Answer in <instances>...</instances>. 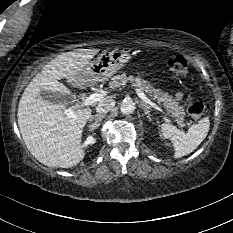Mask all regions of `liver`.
Listing matches in <instances>:
<instances>
[{
  "mask_svg": "<svg viewBox=\"0 0 233 233\" xmlns=\"http://www.w3.org/2000/svg\"><path fill=\"white\" fill-rule=\"evenodd\" d=\"M97 52L78 49L57 56L43 67L22 94L17 112L20 133L30 153L46 166L71 168L84 158L82 133L91 117V109H73L74 116L69 117L64 104L44 100L40 93L70 95V90L58 81L61 79H66L74 88L83 89L88 82L80 73Z\"/></svg>",
  "mask_w": 233,
  "mask_h": 233,
  "instance_id": "obj_1",
  "label": "liver"
}]
</instances>
